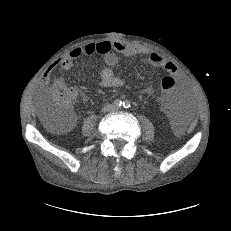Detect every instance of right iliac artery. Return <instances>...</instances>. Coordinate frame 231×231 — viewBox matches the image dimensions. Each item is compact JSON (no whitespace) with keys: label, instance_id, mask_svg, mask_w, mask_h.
<instances>
[{"label":"right iliac artery","instance_id":"1","mask_svg":"<svg viewBox=\"0 0 231 231\" xmlns=\"http://www.w3.org/2000/svg\"><path fill=\"white\" fill-rule=\"evenodd\" d=\"M121 105H122V101L121 100L117 99V100L114 101V106L119 107Z\"/></svg>","mask_w":231,"mask_h":231}]
</instances>
